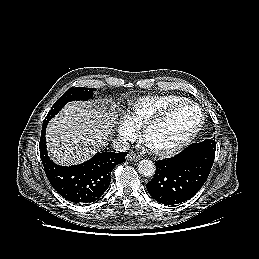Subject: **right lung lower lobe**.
Here are the masks:
<instances>
[{
    "label": "right lung lower lobe",
    "mask_w": 259,
    "mask_h": 259,
    "mask_svg": "<svg viewBox=\"0 0 259 259\" xmlns=\"http://www.w3.org/2000/svg\"><path fill=\"white\" fill-rule=\"evenodd\" d=\"M42 125L39 142L40 156L52 187L65 199L74 203H90L108 189L113 168L125 162L126 152H101L89 161L75 166H59L50 160L46 151V127Z\"/></svg>",
    "instance_id": "right-lung-lower-lobe-1"
}]
</instances>
